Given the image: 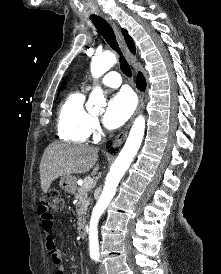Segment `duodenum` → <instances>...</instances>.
<instances>
[{"label":"duodenum","mask_w":221,"mask_h":274,"mask_svg":"<svg viewBox=\"0 0 221 274\" xmlns=\"http://www.w3.org/2000/svg\"><path fill=\"white\" fill-rule=\"evenodd\" d=\"M88 234V227L86 223H82L79 227L78 235L81 240H85Z\"/></svg>","instance_id":"duodenum-1"}]
</instances>
